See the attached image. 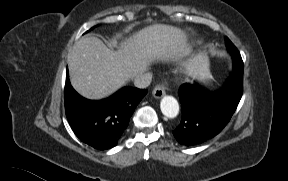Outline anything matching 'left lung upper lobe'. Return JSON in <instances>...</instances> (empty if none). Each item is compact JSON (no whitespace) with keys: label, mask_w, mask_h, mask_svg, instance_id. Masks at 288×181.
<instances>
[{"label":"left lung upper lobe","mask_w":288,"mask_h":181,"mask_svg":"<svg viewBox=\"0 0 288 181\" xmlns=\"http://www.w3.org/2000/svg\"><path fill=\"white\" fill-rule=\"evenodd\" d=\"M226 46L228 50L231 52L234 62V71L231 75V79L234 80H243V61L241 56H236L234 52V45L233 43L226 37ZM236 48V47H235Z\"/></svg>","instance_id":"5c2ea615"}]
</instances>
